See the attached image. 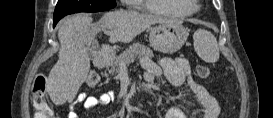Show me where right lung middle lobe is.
I'll list each match as a JSON object with an SVG mask.
<instances>
[{
	"instance_id": "right-lung-middle-lobe-1",
	"label": "right lung middle lobe",
	"mask_w": 273,
	"mask_h": 118,
	"mask_svg": "<svg viewBox=\"0 0 273 118\" xmlns=\"http://www.w3.org/2000/svg\"><path fill=\"white\" fill-rule=\"evenodd\" d=\"M115 6V0H59L55 12H99Z\"/></svg>"
}]
</instances>
